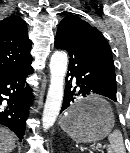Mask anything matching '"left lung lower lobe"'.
<instances>
[{"label":"left lung lower lobe","mask_w":130,"mask_h":153,"mask_svg":"<svg viewBox=\"0 0 130 153\" xmlns=\"http://www.w3.org/2000/svg\"><path fill=\"white\" fill-rule=\"evenodd\" d=\"M55 47L65 49L70 56L68 74L66 77L65 95L61 112L74 102L75 96L99 94L114 102L116 99V82L109 72L90 55L79 51L64 38L56 37ZM72 81L80 88L79 92L72 91Z\"/></svg>","instance_id":"obj_1"}]
</instances>
